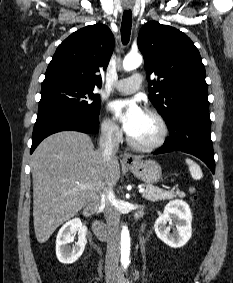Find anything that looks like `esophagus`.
<instances>
[{"instance_id": "34e87169", "label": "esophagus", "mask_w": 233, "mask_h": 283, "mask_svg": "<svg viewBox=\"0 0 233 283\" xmlns=\"http://www.w3.org/2000/svg\"><path fill=\"white\" fill-rule=\"evenodd\" d=\"M124 162L132 164L137 161L136 157L129 152H124L122 155Z\"/></svg>"}]
</instances>
